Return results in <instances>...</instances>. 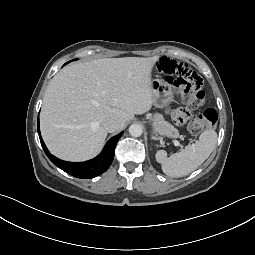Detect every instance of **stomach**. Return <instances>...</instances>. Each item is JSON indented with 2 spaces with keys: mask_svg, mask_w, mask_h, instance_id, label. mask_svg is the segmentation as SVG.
I'll return each mask as SVG.
<instances>
[{
  "mask_svg": "<svg viewBox=\"0 0 255 255\" xmlns=\"http://www.w3.org/2000/svg\"><path fill=\"white\" fill-rule=\"evenodd\" d=\"M174 93L170 84L161 79L152 80V100L156 107H166L173 101Z\"/></svg>",
  "mask_w": 255,
  "mask_h": 255,
  "instance_id": "stomach-1",
  "label": "stomach"
}]
</instances>
